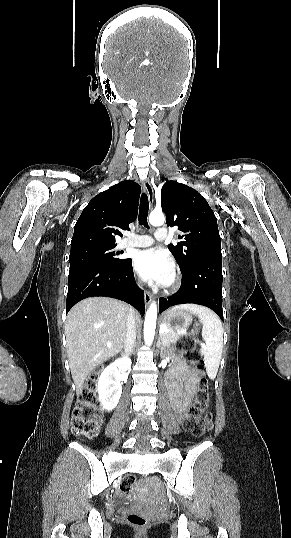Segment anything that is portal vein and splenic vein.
Wrapping results in <instances>:
<instances>
[{
    "label": "portal vein and splenic vein",
    "instance_id": "portal-vein-and-splenic-vein-1",
    "mask_svg": "<svg viewBox=\"0 0 291 538\" xmlns=\"http://www.w3.org/2000/svg\"><path fill=\"white\" fill-rule=\"evenodd\" d=\"M167 331H168V330H167L166 327H164V326H161V327H160V333L167 332ZM195 341L198 342V339H195Z\"/></svg>",
    "mask_w": 291,
    "mask_h": 538
}]
</instances>
